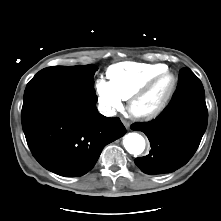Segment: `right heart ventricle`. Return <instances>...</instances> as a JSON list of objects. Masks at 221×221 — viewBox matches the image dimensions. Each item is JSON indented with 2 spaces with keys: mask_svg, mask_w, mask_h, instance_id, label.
Returning <instances> with one entry per match:
<instances>
[{
  "mask_svg": "<svg viewBox=\"0 0 221 221\" xmlns=\"http://www.w3.org/2000/svg\"><path fill=\"white\" fill-rule=\"evenodd\" d=\"M164 64L123 62L107 69L109 83L123 100H128L158 73L166 70Z\"/></svg>",
  "mask_w": 221,
  "mask_h": 221,
  "instance_id": "e07e8e85",
  "label": "right heart ventricle"
}]
</instances>
